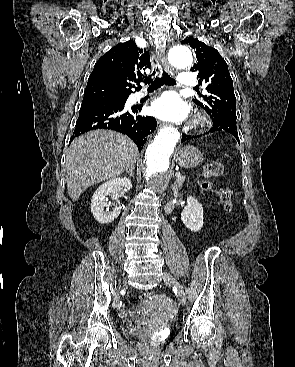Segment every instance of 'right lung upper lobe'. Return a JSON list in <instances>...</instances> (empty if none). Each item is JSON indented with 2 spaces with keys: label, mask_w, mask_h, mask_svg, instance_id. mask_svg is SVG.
Instances as JSON below:
<instances>
[{
  "label": "right lung upper lobe",
  "mask_w": 295,
  "mask_h": 367,
  "mask_svg": "<svg viewBox=\"0 0 295 367\" xmlns=\"http://www.w3.org/2000/svg\"><path fill=\"white\" fill-rule=\"evenodd\" d=\"M151 67L149 52L129 40L119 43L95 64L86 89L104 88L116 94L129 96L132 88L139 91L140 82H149L141 71Z\"/></svg>",
  "instance_id": "obj_1"
}]
</instances>
